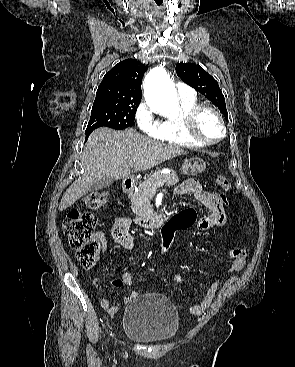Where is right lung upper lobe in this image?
Returning <instances> with one entry per match:
<instances>
[{"label":"right lung upper lobe","instance_id":"obj_1","mask_svg":"<svg viewBox=\"0 0 295 367\" xmlns=\"http://www.w3.org/2000/svg\"><path fill=\"white\" fill-rule=\"evenodd\" d=\"M147 66L135 59L124 60L107 72L98 87L96 97H113L140 101L141 82Z\"/></svg>","mask_w":295,"mask_h":367}]
</instances>
